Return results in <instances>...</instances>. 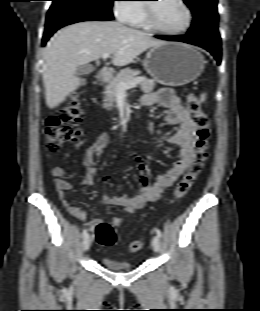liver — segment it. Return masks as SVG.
<instances>
[{
    "mask_svg": "<svg viewBox=\"0 0 260 311\" xmlns=\"http://www.w3.org/2000/svg\"><path fill=\"white\" fill-rule=\"evenodd\" d=\"M150 34L115 21H84L60 29L44 50L45 100L53 109L81 83L76 69L104 54L115 66H126L151 47L165 44Z\"/></svg>",
    "mask_w": 260,
    "mask_h": 311,
    "instance_id": "liver-1",
    "label": "liver"
}]
</instances>
